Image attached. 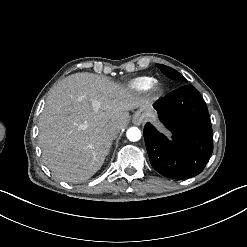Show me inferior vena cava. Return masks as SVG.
<instances>
[{"label": "inferior vena cava", "instance_id": "602c4592", "mask_svg": "<svg viewBox=\"0 0 247 247\" xmlns=\"http://www.w3.org/2000/svg\"><path fill=\"white\" fill-rule=\"evenodd\" d=\"M109 135H110V138L111 139H114L118 136V134L121 132V129L119 126H113V127H109L107 129Z\"/></svg>", "mask_w": 247, "mask_h": 247}]
</instances>
